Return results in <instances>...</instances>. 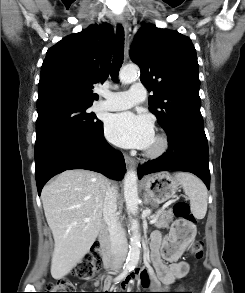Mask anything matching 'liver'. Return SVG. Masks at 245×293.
<instances>
[{"label": "liver", "instance_id": "1", "mask_svg": "<svg viewBox=\"0 0 245 293\" xmlns=\"http://www.w3.org/2000/svg\"><path fill=\"white\" fill-rule=\"evenodd\" d=\"M110 184L102 174L78 169L62 172L43 188L41 200L55 242L54 279L70 273L95 242Z\"/></svg>", "mask_w": 245, "mask_h": 293}]
</instances>
